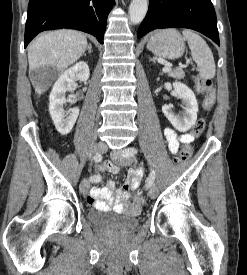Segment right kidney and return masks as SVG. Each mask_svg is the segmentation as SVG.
<instances>
[{"mask_svg": "<svg viewBox=\"0 0 247 275\" xmlns=\"http://www.w3.org/2000/svg\"><path fill=\"white\" fill-rule=\"evenodd\" d=\"M89 75L87 63L81 61L65 70L53 86L49 96V112L57 131L62 135L70 133L79 116L77 107L69 109L68 112L64 111V104L67 102L66 92L73 90L75 79L85 82Z\"/></svg>", "mask_w": 247, "mask_h": 275, "instance_id": "right-kidney-1", "label": "right kidney"}]
</instances>
